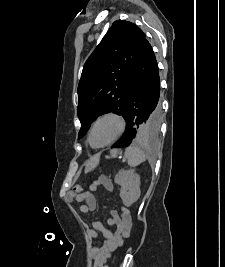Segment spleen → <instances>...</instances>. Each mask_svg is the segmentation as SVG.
<instances>
[{"mask_svg":"<svg viewBox=\"0 0 225 267\" xmlns=\"http://www.w3.org/2000/svg\"><path fill=\"white\" fill-rule=\"evenodd\" d=\"M125 158L128 161L130 167H136L145 162L146 154L135 146H130L125 150Z\"/></svg>","mask_w":225,"mask_h":267,"instance_id":"1","label":"spleen"}]
</instances>
